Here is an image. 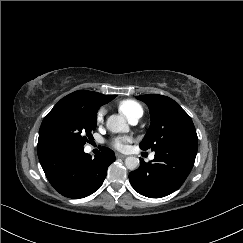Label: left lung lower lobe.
I'll return each mask as SVG.
<instances>
[{
  "mask_svg": "<svg viewBox=\"0 0 243 243\" xmlns=\"http://www.w3.org/2000/svg\"><path fill=\"white\" fill-rule=\"evenodd\" d=\"M198 139L188 138L166 144L155 151L153 161L129 174L132 187L141 195L161 198L177 190L185 181L195 162Z\"/></svg>",
  "mask_w": 243,
  "mask_h": 243,
  "instance_id": "left-lung-lower-lobe-1",
  "label": "left lung lower lobe"
}]
</instances>
